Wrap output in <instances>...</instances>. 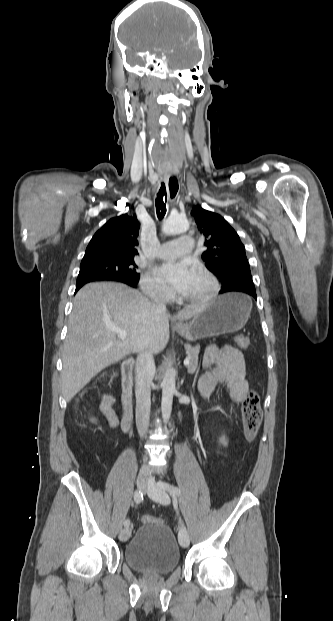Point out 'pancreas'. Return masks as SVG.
<instances>
[{
    "label": "pancreas",
    "instance_id": "obj_1",
    "mask_svg": "<svg viewBox=\"0 0 333 621\" xmlns=\"http://www.w3.org/2000/svg\"><path fill=\"white\" fill-rule=\"evenodd\" d=\"M187 358H189L190 363L187 365V369L189 372H195L198 367V354L200 350V346H191L189 344L185 345Z\"/></svg>",
    "mask_w": 333,
    "mask_h": 621
}]
</instances>
